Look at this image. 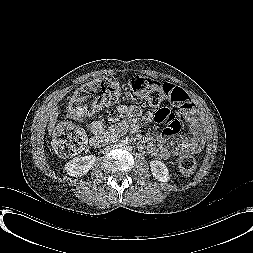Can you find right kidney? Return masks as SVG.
Wrapping results in <instances>:
<instances>
[{
    "instance_id": "right-kidney-1",
    "label": "right kidney",
    "mask_w": 253,
    "mask_h": 253,
    "mask_svg": "<svg viewBox=\"0 0 253 253\" xmlns=\"http://www.w3.org/2000/svg\"><path fill=\"white\" fill-rule=\"evenodd\" d=\"M96 157L94 155H86L83 157H77L69 161L65 165V170L70 176L81 177L85 175L91 167L94 165Z\"/></svg>"
}]
</instances>
